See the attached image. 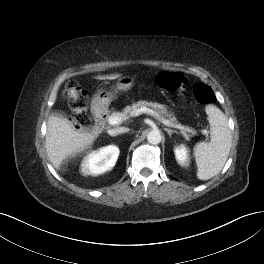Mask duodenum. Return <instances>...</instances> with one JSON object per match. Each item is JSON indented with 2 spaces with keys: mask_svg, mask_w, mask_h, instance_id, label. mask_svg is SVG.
Returning a JSON list of instances; mask_svg holds the SVG:
<instances>
[{
  "mask_svg": "<svg viewBox=\"0 0 264 264\" xmlns=\"http://www.w3.org/2000/svg\"><path fill=\"white\" fill-rule=\"evenodd\" d=\"M92 113L95 117V125L96 127H101L102 126V123L104 121V109L103 107L101 106V104H95L92 108Z\"/></svg>",
  "mask_w": 264,
  "mask_h": 264,
  "instance_id": "obj_1",
  "label": "duodenum"
}]
</instances>
